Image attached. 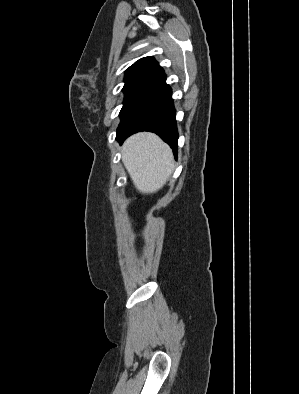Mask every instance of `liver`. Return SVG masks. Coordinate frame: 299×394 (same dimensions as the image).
<instances>
[{
  "label": "liver",
  "instance_id": "obj_1",
  "mask_svg": "<svg viewBox=\"0 0 299 394\" xmlns=\"http://www.w3.org/2000/svg\"><path fill=\"white\" fill-rule=\"evenodd\" d=\"M121 152L124 166L141 193H155L174 171L172 150L153 133L142 132L129 137Z\"/></svg>",
  "mask_w": 299,
  "mask_h": 394
}]
</instances>
